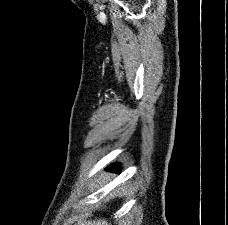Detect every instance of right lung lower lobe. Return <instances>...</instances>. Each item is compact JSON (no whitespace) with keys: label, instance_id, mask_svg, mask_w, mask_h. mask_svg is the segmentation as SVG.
<instances>
[{"label":"right lung lower lobe","instance_id":"98d812e1","mask_svg":"<svg viewBox=\"0 0 228 225\" xmlns=\"http://www.w3.org/2000/svg\"><path fill=\"white\" fill-rule=\"evenodd\" d=\"M118 169H119L118 167L112 166L108 170L118 172Z\"/></svg>","mask_w":228,"mask_h":225}]
</instances>
